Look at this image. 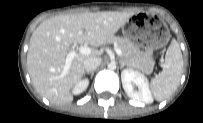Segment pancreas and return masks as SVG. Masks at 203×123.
<instances>
[{
    "instance_id": "cf45deb5",
    "label": "pancreas",
    "mask_w": 203,
    "mask_h": 123,
    "mask_svg": "<svg viewBox=\"0 0 203 123\" xmlns=\"http://www.w3.org/2000/svg\"><path fill=\"white\" fill-rule=\"evenodd\" d=\"M122 51L121 59L126 64L143 73L150 74L154 68V60L147 54L140 52V50L129 40L122 37H114L111 40Z\"/></svg>"
}]
</instances>
